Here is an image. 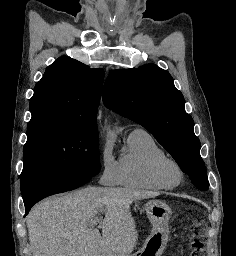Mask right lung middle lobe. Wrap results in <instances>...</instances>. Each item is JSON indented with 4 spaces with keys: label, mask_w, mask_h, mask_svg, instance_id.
Returning a JSON list of instances; mask_svg holds the SVG:
<instances>
[{
    "label": "right lung middle lobe",
    "mask_w": 236,
    "mask_h": 256,
    "mask_svg": "<svg viewBox=\"0 0 236 256\" xmlns=\"http://www.w3.org/2000/svg\"><path fill=\"white\" fill-rule=\"evenodd\" d=\"M98 138L96 126L28 123L20 178L22 195L42 184L97 175L101 169Z\"/></svg>",
    "instance_id": "1"
}]
</instances>
